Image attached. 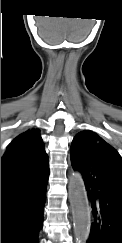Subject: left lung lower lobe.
<instances>
[{
    "instance_id": "obj_1",
    "label": "left lung lower lobe",
    "mask_w": 122,
    "mask_h": 243,
    "mask_svg": "<svg viewBox=\"0 0 122 243\" xmlns=\"http://www.w3.org/2000/svg\"><path fill=\"white\" fill-rule=\"evenodd\" d=\"M81 173L89 205L86 243H122V160L112 148L89 155L73 167Z\"/></svg>"
}]
</instances>
